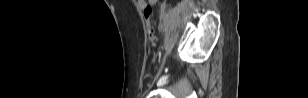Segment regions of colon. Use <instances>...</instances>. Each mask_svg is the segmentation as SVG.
I'll return each instance as SVG.
<instances>
[{
	"instance_id": "1",
	"label": "colon",
	"mask_w": 308,
	"mask_h": 98,
	"mask_svg": "<svg viewBox=\"0 0 308 98\" xmlns=\"http://www.w3.org/2000/svg\"><path fill=\"white\" fill-rule=\"evenodd\" d=\"M143 14H144L145 22H146V31H147L148 38L152 43H155L156 35L154 32L153 26L151 24L152 9L150 7L144 8Z\"/></svg>"
}]
</instances>
